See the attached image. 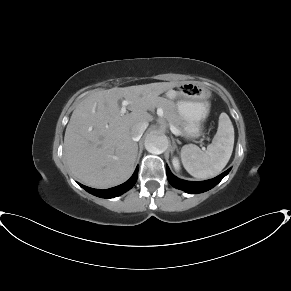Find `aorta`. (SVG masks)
<instances>
[{"instance_id":"762f6f07","label":"aorta","mask_w":291,"mask_h":291,"mask_svg":"<svg viewBox=\"0 0 291 291\" xmlns=\"http://www.w3.org/2000/svg\"><path fill=\"white\" fill-rule=\"evenodd\" d=\"M168 139L165 135L151 132L146 136L145 148L153 154H161L168 148Z\"/></svg>"}]
</instances>
